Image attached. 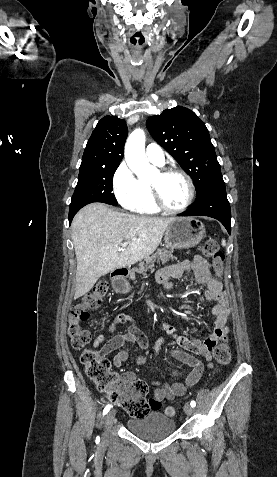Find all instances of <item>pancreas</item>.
<instances>
[{"label":"pancreas","mask_w":277,"mask_h":477,"mask_svg":"<svg viewBox=\"0 0 277 477\" xmlns=\"http://www.w3.org/2000/svg\"><path fill=\"white\" fill-rule=\"evenodd\" d=\"M169 260H176V257L173 256V251L166 249H158L157 252L145 259V264H141L134 271L139 274H146L148 270L154 271L155 263L161 262L162 264H165ZM132 277L135 278L134 275H132Z\"/></svg>","instance_id":"1"}]
</instances>
